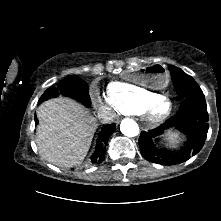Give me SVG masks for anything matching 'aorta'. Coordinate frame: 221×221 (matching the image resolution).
I'll return each mask as SVG.
<instances>
[{
    "label": "aorta",
    "instance_id": "762f6f07",
    "mask_svg": "<svg viewBox=\"0 0 221 221\" xmlns=\"http://www.w3.org/2000/svg\"><path fill=\"white\" fill-rule=\"evenodd\" d=\"M120 131L127 137H135L139 134V126L133 119H123L120 124Z\"/></svg>",
    "mask_w": 221,
    "mask_h": 221
}]
</instances>
